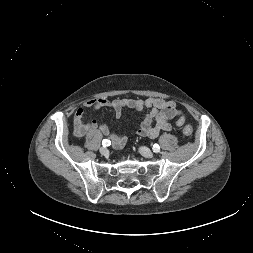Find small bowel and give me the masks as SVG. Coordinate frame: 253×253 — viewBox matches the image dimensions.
I'll use <instances>...</instances> for the list:
<instances>
[{
	"instance_id": "1",
	"label": "small bowel",
	"mask_w": 253,
	"mask_h": 253,
	"mask_svg": "<svg viewBox=\"0 0 253 253\" xmlns=\"http://www.w3.org/2000/svg\"><path fill=\"white\" fill-rule=\"evenodd\" d=\"M103 107H110L114 110L116 117H121L125 108H132L139 112L149 110L144 116L136 134L142 137H157L162 131H170V121L176 118V126L180 127L185 122L184 114L176 108L173 101L161 98L146 99H114L94 98L85 102L83 107L76 110L73 118V134L77 138L84 137L88 132L99 130L107 136L115 147L121 148L127 142L126 136L114 134L105 123H98L96 120L84 121L85 109L98 110Z\"/></svg>"
}]
</instances>
